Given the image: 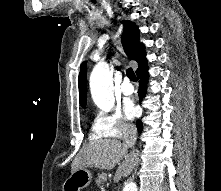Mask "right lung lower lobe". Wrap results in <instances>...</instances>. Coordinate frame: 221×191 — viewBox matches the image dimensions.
Here are the masks:
<instances>
[{
    "label": "right lung lower lobe",
    "mask_w": 221,
    "mask_h": 191,
    "mask_svg": "<svg viewBox=\"0 0 221 191\" xmlns=\"http://www.w3.org/2000/svg\"><path fill=\"white\" fill-rule=\"evenodd\" d=\"M136 74L139 78V87H142V89H139V91H138L139 99L141 101L143 99V97L145 96V92H146V83L148 81V76H149L148 66L146 65L144 68L139 70ZM136 126L138 129V132H141L143 129L141 121L138 120L136 123Z\"/></svg>",
    "instance_id": "obj_1"
}]
</instances>
